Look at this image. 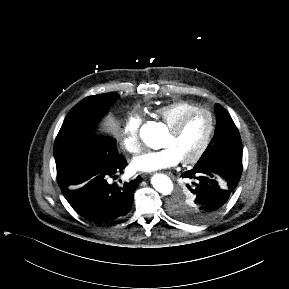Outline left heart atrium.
Masks as SVG:
<instances>
[{
    "mask_svg": "<svg viewBox=\"0 0 289 289\" xmlns=\"http://www.w3.org/2000/svg\"><path fill=\"white\" fill-rule=\"evenodd\" d=\"M181 161L177 152L171 147L148 151L135 157L132 167L142 172H153L176 166Z\"/></svg>",
    "mask_w": 289,
    "mask_h": 289,
    "instance_id": "left-heart-atrium-1",
    "label": "left heart atrium"
}]
</instances>
